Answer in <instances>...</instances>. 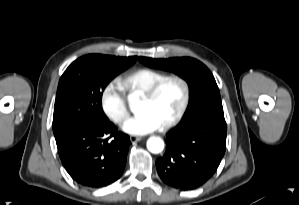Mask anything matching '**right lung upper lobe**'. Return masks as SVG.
<instances>
[{"instance_id": "1", "label": "right lung upper lobe", "mask_w": 299, "mask_h": 205, "mask_svg": "<svg viewBox=\"0 0 299 205\" xmlns=\"http://www.w3.org/2000/svg\"><path fill=\"white\" fill-rule=\"evenodd\" d=\"M91 58H108V59H113V60H120L124 62H130L134 63L137 60V57H114V56H105V55H99V54H92V55H86L83 56L82 59H91Z\"/></svg>"}]
</instances>
